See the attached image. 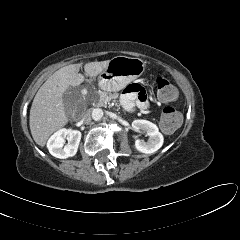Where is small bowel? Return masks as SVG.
I'll return each instance as SVG.
<instances>
[{
  "instance_id": "c3829d8e",
  "label": "small bowel",
  "mask_w": 240,
  "mask_h": 240,
  "mask_svg": "<svg viewBox=\"0 0 240 240\" xmlns=\"http://www.w3.org/2000/svg\"><path fill=\"white\" fill-rule=\"evenodd\" d=\"M121 103L128 111H132L136 107L142 110H146L148 108L146 92L141 85L136 83L126 86L121 95Z\"/></svg>"
}]
</instances>
